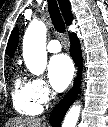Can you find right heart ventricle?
<instances>
[{"label": "right heart ventricle", "mask_w": 108, "mask_h": 127, "mask_svg": "<svg viewBox=\"0 0 108 127\" xmlns=\"http://www.w3.org/2000/svg\"><path fill=\"white\" fill-rule=\"evenodd\" d=\"M12 102L15 110L27 116H34L41 112L42 106L36 100L30 82L15 77L12 89Z\"/></svg>", "instance_id": "right-heart-ventricle-1"}]
</instances>
